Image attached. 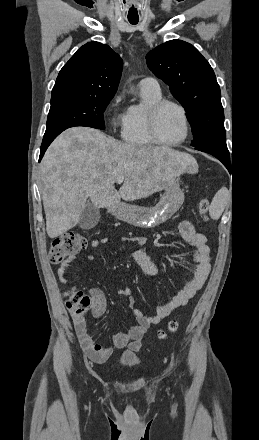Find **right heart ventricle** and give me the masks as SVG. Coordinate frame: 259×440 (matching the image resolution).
<instances>
[{
	"label": "right heart ventricle",
	"mask_w": 259,
	"mask_h": 440,
	"mask_svg": "<svg viewBox=\"0 0 259 440\" xmlns=\"http://www.w3.org/2000/svg\"><path fill=\"white\" fill-rule=\"evenodd\" d=\"M143 103L128 107L125 113V124L122 128V139L136 147H151L152 141L147 125V113L151 105L161 100V94L154 95L142 92Z\"/></svg>",
	"instance_id": "obj_1"
}]
</instances>
